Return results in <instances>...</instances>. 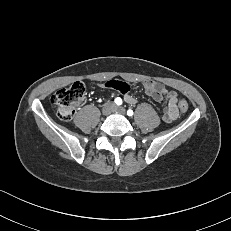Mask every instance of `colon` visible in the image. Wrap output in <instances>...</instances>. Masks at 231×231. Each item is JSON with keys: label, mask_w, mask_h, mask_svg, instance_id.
<instances>
[{"label": "colon", "mask_w": 231, "mask_h": 231, "mask_svg": "<svg viewBox=\"0 0 231 231\" xmlns=\"http://www.w3.org/2000/svg\"><path fill=\"white\" fill-rule=\"evenodd\" d=\"M86 88L82 82H75L72 85L57 90L51 97V102L56 108L58 117L63 121H70L77 107L84 101ZM181 112H186L189 108L188 102L181 99L178 102Z\"/></svg>", "instance_id": "obj_1"}]
</instances>
